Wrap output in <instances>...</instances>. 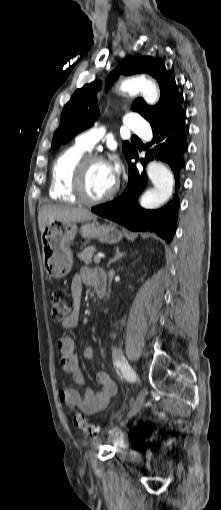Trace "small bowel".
<instances>
[{"label":"small bowel","instance_id":"c3829d8e","mask_svg":"<svg viewBox=\"0 0 221 510\" xmlns=\"http://www.w3.org/2000/svg\"><path fill=\"white\" fill-rule=\"evenodd\" d=\"M94 272L95 269L83 268L72 280L71 293L74 307L72 312L61 321L60 324L63 328H73L78 324L83 286H94ZM58 347L61 354L60 366L63 372L71 376L76 384L84 386V378L75 354L74 339L70 336H62L58 341ZM94 351L92 345H87L83 350V355L86 359H91ZM96 380L100 385L98 391H94L89 387H84L82 393L73 388L60 389L58 392L60 402L69 408H78L85 415H93L103 410L115 396L117 387L106 372H97Z\"/></svg>","mask_w":221,"mask_h":510}]
</instances>
